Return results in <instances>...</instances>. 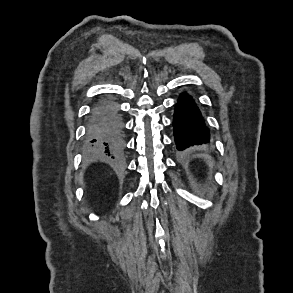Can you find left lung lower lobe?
I'll list each match as a JSON object with an SVG mask.
<instances>
[{
  "mask_svg": "<svg viewBox=\"0 0 293 293\" xmlns=\"http://www.w3.org/2000/svg\"><path fill=\"white\" fill-rule=\"evenodd\" d=\"M173 126L174 140L180 151L210 141L201 112L187 93H182L178 98Z\"/></svg>",
  "mask_w": 293,
  "mask_h": 293,
  "instance_id": "1",
  "label": "left lung lower lobe"
}]
</instances>
